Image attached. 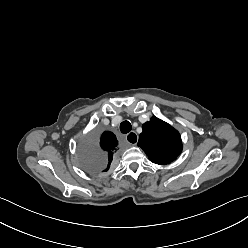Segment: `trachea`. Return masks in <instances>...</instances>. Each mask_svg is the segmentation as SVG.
I'll use <instances>...</instances> for the list:
<instances>
[{
    "label": "trachea",
    "mask_w": 248,
    "mask_h": 248,
    "mask_svg": "<svg viewBox=\"0 0 248 248\" xmlns=\"http://www.w3.org/2000/svg\"><path fill=\"white\" fill-rule=\"evenodd\" d=\"M132 129V126H131V123L129 121H123L121 124H120V131L123 133V134H127L128 132H130Z\"/></svg>",
    "instance_id": "1"
}]
</instances>
